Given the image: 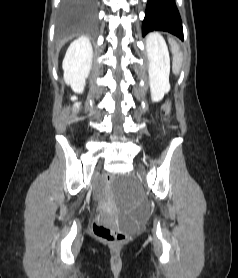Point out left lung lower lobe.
Here are the masks:
<instances>
[{"label":"left lung lower lobe","mask_w":238,"mask_h":278,"mask_svg":"<svg viewBox=\"0 0 238 278\" xmlns=\"http://www.w3.org/2000/svg\"><path fill=\"white\" fill-rule=\"evenodd\" d=\"M154 30L170 32L183 40V29L174 0H148L142 32Z\"/></svg>","instance_id":"left-lung-lower-lobe-1"}]
</instances>
